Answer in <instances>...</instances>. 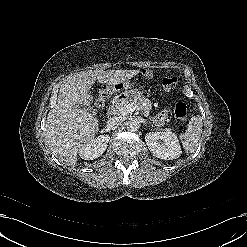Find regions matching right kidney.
Segmentation results:
<instances>
[{
    "mask_svg": "<svg viewBox=\"0 0 247 247\" xmlns=\"http://www.w3.org/2000/svg\"><path fill=\"white\" fill-rule=\"evenodd\" d=\"M109 140V135H100L96 138H92L79 148L78 153L84 160L96 159L105 152Z\"/></svg>",
    "mask_w": 247,
    "mask_h": 247,
    "instance_id": "right-kidney-1",
    "label": "right kidney"
}]
</instances>
